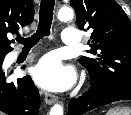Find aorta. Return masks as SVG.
<instances>
[{
  "instance_id": "aorta-1",
  "label": "aorta",
  "mask_w": 131,
  "mask_h": 115,
  "mask_svg": "<svg viewBox=\"0 0 131 115\" xmlns=\"http://www.w3.org/2000/svg\"><path fill=\"white\" fill-rule=\"evenodd\" d=\"M73 10L69 7H63L59 9L57 17L60 21H68L73 18ZM49 115H63V106L60 104H55L50 112Z\"/></svg>"
}]
</instances>
